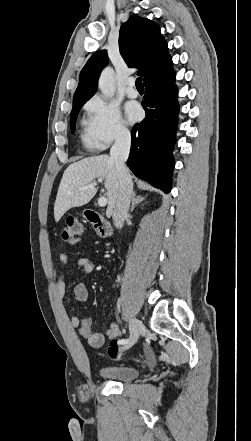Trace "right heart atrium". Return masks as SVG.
<instances>
[{
  "instance_id": "obj_1",
  "label": "right heart atrium",
  "mask_w": 251,
  "mask_h": 441,
  "mask_svg": "<svg viewBox=\"0 0 251 441\" xmlns=\"http://www.w3.org/2000/svg\"><path fill=\"white\" fill-rule=\"evenodd\" d=\"M85 109L91 148L101 150L129 136L127 124L114 102L94 96L86 103Z\"/></svg>"
}]
</instances>
